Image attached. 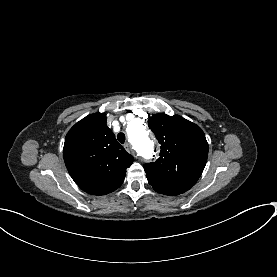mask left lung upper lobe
Instances as JSON below:
<instances>
[{"mask_svg":"<svg viewBox=\"0 0 277 277\" xmlns=\"http://www.w3.org/2000/svg\"><path fill=\"white\" fill-rule=\"evenodd\" d=\"M148 126L161 144L160 157L144 164L149 184L164 195L188 191L201 176L207 161L204 132L179 115H153Z\"/></svg>","mask_w":277,"mask_h":277,"instance_id":"obj_1","label":"left lung upper lobe"}]
</instances>
